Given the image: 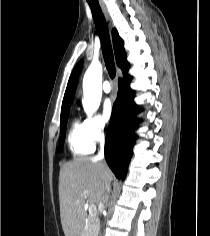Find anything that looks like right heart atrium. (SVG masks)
<instances>
[{
  "label": "right heart atrium",
  "instance_id": "right-heart-atrium-1",
  "mask_svg": "<svg viewBox=\"0 0 210 236\" xmlns=\"http://www.w3.org/2000/svg\"><path fill=\"white\" fill-rule=\"evenodd\" d=\"M85 129L91 142H99L105 133V126L101 118L97 115L90 116L85 119Z\"/></svg>",
  "mask_w": 210,
  "mask_h": 236
}]
</instances>
